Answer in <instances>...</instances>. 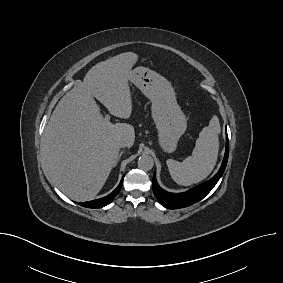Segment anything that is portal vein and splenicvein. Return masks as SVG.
<instances>
[{
	"label": "portal vein and splenic vein",
	"instance_id": "1",
	"mask_svg": "<svg viewBox=\"0 0 283 283\" xmlns=\"http://www.w3.org/2000/svg\"><path fill=\"white\" fill-rule=\"evenodd\" d=\"M105 120L109 121L110 120V116L108 114L105 115Z\"/></svg>",
	"mask_w": 283,
	"mask_h": 283
}]
</instances>
